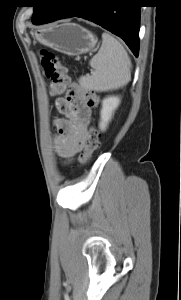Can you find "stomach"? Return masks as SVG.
Instances as JSON below:
<instances>
[{
  "label": "stomach",
  "instance_id": "1",
  "mask_svg": "<svg viewBox=\"0 0 181 300\" xmlns=\"http://www.w3.org/2000/svg\"><path fill=\"white\" fill-rule=\"evenodd\" d=\"M34 36L39 43L70 56L88 53L97 44V37L91 31L75 23L53 25Z\"/></svg>",
  "mask_w": 181,
  "mask_h": 300
}]
</instances>
